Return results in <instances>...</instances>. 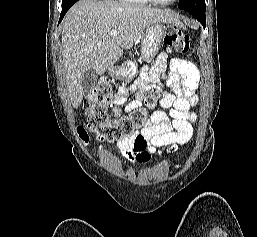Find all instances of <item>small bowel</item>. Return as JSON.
<instances>
[{
  "label": "small bowel",
  "mask_w": 257,
  "mask_h": 237,
  "mask_svg": "<svg viewBox=\"0 0 257 237\" xmlns=\"http://www.w3.org/2000/svg\"><path fill=\"white\" fill-rule=\"evenodd\" d=\"M166 62L167 55L161 53L154 66L149 71L144 68L133 85L118 89L112 102L114 117H121L123 112L141 107L146 92L151 88L149 82L158 78ZM170 66L172 72L167 84L172 91L164 92L160 101L161 108L169 112H154L141 131L118 142V153L132 163L146 164L154 155L174 152L192 137V123L196 120V114L191 107L198 101L195 90L200 74L197 67L186 60L173 59ZM130 93L132 99L123 110L122 106Z\"/></svg>",
  "instance_id": "c3829d8e"
}]
</instances>
